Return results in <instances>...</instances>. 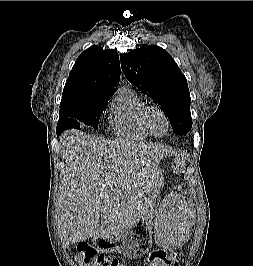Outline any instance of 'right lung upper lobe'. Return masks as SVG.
Instances as JSON below:
<instances>
[{
  "mask_svg": "<svg viewBox=\"0 0 253 266\" xmlns=\"http://www.w3.org/2000/svg\"><path fill=\"white\" fill-rule=\"evenodd\" d=\"M119 78L118 53L94 45L82 52L76 60L66 81L61 104L87 102L112 95Z\"/></svg>",
  "mask_w": 253,
  "mask_h": 266,
  "instance_id": "obj_1",
  "label": "right lung upper lobe"
}]
</instances>
